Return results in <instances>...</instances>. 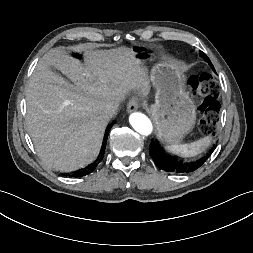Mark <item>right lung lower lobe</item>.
I'll return each mask as SVG.
<instances>
[{
  "label": "right lung lower lobe",
  "instance_id": "1",
  "mask_svg": "<svg viewBox=\"0 0 253 253\" xmlns=\"http://www.w3.org/2000/svg\"><path fill=\"white\" fill-rule=\"evenodd\" d=\"M107 136H108V131H107L105 143H104V146H103L104 148L106 147ZM104 148H103V152H102L101 158L103 157V154H104V150H105ZM94 168H95V166L89 168L87 171H84V172H76L72 176L73 177H81V176L87 175V174L91 173L94 170Z\"/></svg>",
  "mask_w": 253,
  "mask_h": 253
}]
</instances>
